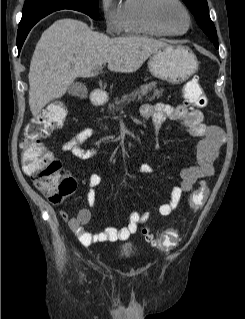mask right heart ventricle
Listing matches in <instances>:
<instances>
[{"label": "right heart ventricle", "instance_id": "1", "mask_svg": "<svg viewBox=\"0 0 245 319\" xmlns=\"http://www.w3.org/2000/svg\"><path fill=\"white\" fill-rule=\"evenodd\" d=\"M152 0H123L120 5L121 31L125 34L165 36L149 18Z\"/></svg>", "mask_w": 245, "mask_h": 319}]
</instances>
